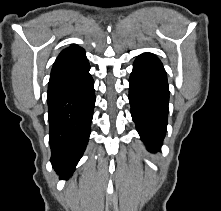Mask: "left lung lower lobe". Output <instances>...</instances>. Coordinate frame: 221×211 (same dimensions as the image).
<instances>
[{
	"label": "left lung lower lobe",
	"instance_id": "left-lung-lower-lobe-1",
	"mask_svg": "<svg viewBox=\"0 0 221 211\" xmlns=\"http://www.w3.org/2000/svg\"><path fill=\"white\" fill-rule=\"evenodd\" d=\"M129 102L136 129L151 152L160 150L167 130L169 88L161 61L152 53L139 55L129 79Z\"/></svg>",
	"mask_w": 221,
	"mask_h": 211
}]
</instances>
